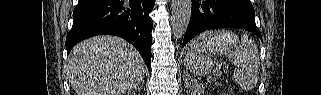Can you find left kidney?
I'll return each mask as SVG.
<instances>
[{"label": "left kidney", "instance_id": "5707ae66", "mask_svg": "<svg viewBox=\"0 0 321 95\" xmlns=\"http://www.w3.org/2000/svg\"><path fill=\"white\" fill-rule=\"evenodd\" d=\"M204 88H201V87H194L192 89V95H200L201 92H203Z\"/></svg>", "mask_w": 321, "mask_h": 95}]
</instances>
